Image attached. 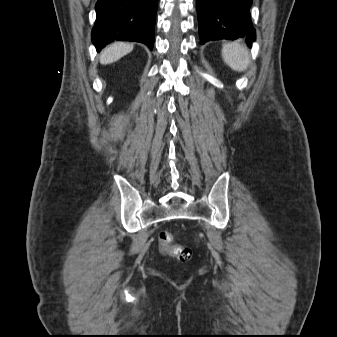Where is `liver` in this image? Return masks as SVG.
<instances>
[{
    "instance_id": "1",
    "label": "liver",
    "mask_w": 337,
    "mask_h": 337,
    "mask_svg": "<svg viewBox=\"0 0 337 337\" xmlns=\"http://www.w3.org/2000/svg\"><path fill=\"white\" fill-rule=\"evenodd\" d=\"M133 50V44L125 42H115L107 46L100 55L101 64H110Z\"/></svg>"
}]
</instances>
